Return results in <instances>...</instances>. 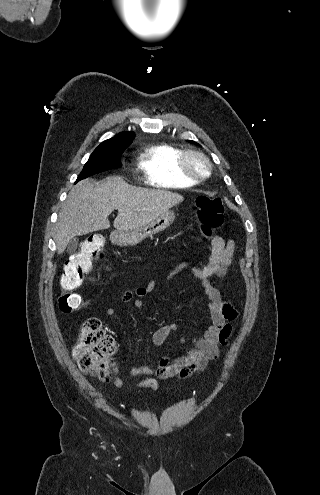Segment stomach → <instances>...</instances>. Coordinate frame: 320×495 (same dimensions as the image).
Here are the masks:
<instances>
[{
    "instance_id": "1",
    "label": "stomach",
    "mask_w": 320,
    "mask_h": 495,
    "mask_svg": "<svg viewBox=\"0 0 320 495\" xmlns=\"http://www.w3.org/2000/svg\"><path fill=\"white\" fill-rule=\"evenodd\" d=\"M174 219V212L168 210L150 223L141 227L126 231L112 232L110 239L112 243L118 246H134L147 237L164 231L173 223Z\"/></svg>"
}]
</instances>
